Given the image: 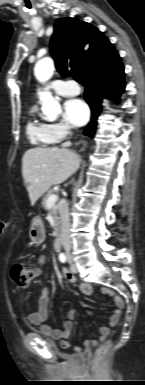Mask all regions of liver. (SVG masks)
I'll list each match as a JSON object with an SVG mask.
<instances>
[{"instance_id": "liver-1", "label": "liver", "mask_w": 145, "mask_h": 385, "mask_svg": "<svg viewBox=\"0 0 145 385\" xmlns=\"http://www.w3.org/2000/svg\"><path fill=\"white\" fill-rule=\"evenodd\" d=\"M80 166V157L67 148H31L22 158V175L31 205L52 186L69 178Z\"/></svg>"}]
</instances>
